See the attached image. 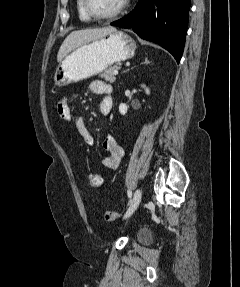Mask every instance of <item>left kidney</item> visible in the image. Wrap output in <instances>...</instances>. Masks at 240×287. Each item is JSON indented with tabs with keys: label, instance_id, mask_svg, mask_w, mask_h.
<instances>
[{
	"label": "left kidney",
	"instance_id": "obj_1",
	"mask_svg": "<svg viewBox=\"0 0 240 287\" xmlns=\"http://www.w3.org/2000/svg\"><path fill=\"white\" fill-rule=\"evenodd\" d=\"M141 87L144 88L145 93H146L147 95L150 94L149 88H147L145 85H141ZM119 112H120L121 115H125V114L127 113V106H126V104L121 103V104L119 105Z\"/></svg>",
	"mask_w": 240,
	"mask_h": 287
}]
</instances>
